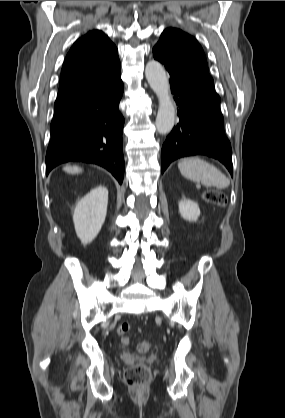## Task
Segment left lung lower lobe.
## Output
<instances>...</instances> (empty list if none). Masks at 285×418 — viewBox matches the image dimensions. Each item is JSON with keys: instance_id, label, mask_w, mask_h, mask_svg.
<instances>
[{"instance_id": "1", "label": "left lung lower lobe", "mask_w": 285, "mask_h": 418, "mask_svg": "<svg viewBox=\"0 0 285 418\" xmlns=\"http://www.w3.org/2000/svg\"><path fill=\"white\" fill-rule=\"evenodd\" d=\"M153 54L168 71L171 92L179 106V123L162 147V173L178 158L207 155L222 162L232 175L231 145L209 72L168 41L159 40Z\"/></svg>"}]
</instances>
